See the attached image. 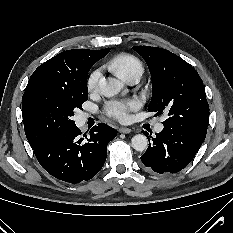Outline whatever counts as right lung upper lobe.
<instances>
[{
  "label": "right lung upper lobe",
  "instance_id": "cb5924a9",
  "mask_svg": "<svg viewBox=\"0 0 233 233\" xmlns=\"http://www.w3.org/2000/svg\"><path fill=\"white\" fill-rule=\"evenodd\" d=\"M110 48L102 50L72 49L64 51L41 64L31 75L22 101L34 90L41 87L66 89L78 85L92 65L108 54ZM26 134V133H25ZM32 149L42 145L50 135H32ZM27 137V136H26Z\"/></svg>",
  "mask_w": 233,
  "mask_h": 233
}]
</instances>
